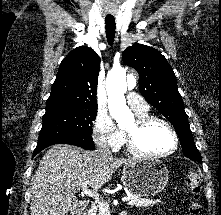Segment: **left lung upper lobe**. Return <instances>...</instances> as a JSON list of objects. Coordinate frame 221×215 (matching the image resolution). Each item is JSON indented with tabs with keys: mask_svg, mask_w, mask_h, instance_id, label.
Returning <instances> with one entry per match:
<instances>
[{
	"mask_svg": "<svg viewBox=\"0 0 221 215\" xmlns=\"http://www.w3.org/2000/svg\"><path fill=\"white\" fill-rule=\"evenodd\" d=\"M122 59L138 71L141 94L174 126L185 156L201 162L175 74L166 58L157 50L137 43L123 52Z\"/></svg>",
	"mask_w": 221,
	"mask_h": 215,
	"instance_id": "left-lung-upper-lobe-1",
	"label": "left lung upper lobe"
}]
</instances>
